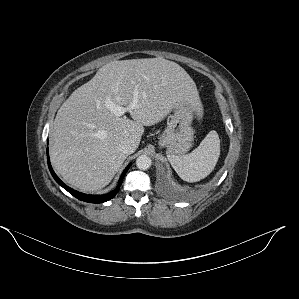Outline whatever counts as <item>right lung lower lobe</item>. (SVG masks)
<instances>
[{"label": "right lung lower lobe", "instance_id": "1", "mask_svg": "<svg viewBox=\"0 0 299 299\" xmlns=\"http://www.w3.org/2000/svg\"><path fill=\"white\" fill-rule=\"evenodd\" d=\"M47 160H48V167H49V170L53 176V178L56 180V182L61 185L65 190H67L71 195H73L74 197H76L77 199L79 200H82V201H85V202H89V203H103V202H106L110 199H112L116 194L117 192L119 191V188L122 184V181H123V178L127 172V170L129 169L130 167V164L126 167V169L123 171L120 179H119V183H118V186L117 188L108 193V194H104V195H87V194H83V193H80L78 191H75L73 190L72 188L66 186L58 177L57 175L54 173L52 167H51V164H50V160H49V155H48V149H47Z\"/></svg>", "mask_w": 299, "mask_h": 299}]
</instances>
